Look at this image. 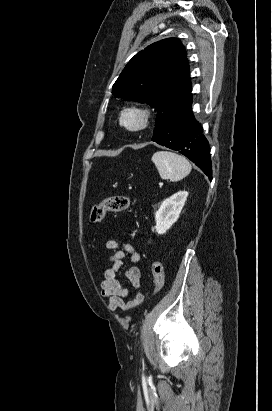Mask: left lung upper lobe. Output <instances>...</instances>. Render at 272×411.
<instances>
[{
  "instance_id": "left-lung-upper-lobe-1",
  "label": "left lung upper lobe",
  "mask_w": 272,
  "mask_h": 411,
  "mask_svg": "<svg viewBox=\"0 0 272 411\" xmlns=\"http://www.w3.org/2000/svg\"><path fill=\"white\" fill-rule=\"evenodd\" d=\"M186 55L176 38L155 42L130 60L112 87L117 98L157 110L154 133L192 99Z\"/></svg>"
}]
</instances>
